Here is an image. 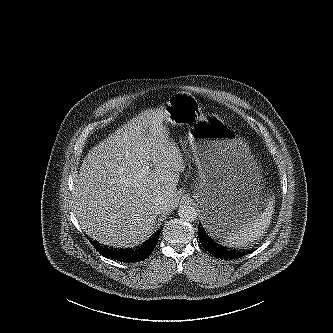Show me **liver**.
Returning a JSON list of instances; mask_svg holds the SVG:
<instances>
[{
  "instance_id": "liver-1",
  "label": "liver",
  "mask_w": 333,
  "mask_h": 333,
  "mask_svg": "<svg viewBox=\"0 0 333 333\" xmlns=\"http://www.w3.org/2000/svg\"><path fill=\"white\" fill-rule=\"evenodd\" d=\"M164 118L163 108L145 111L85 157L74 184V212L98 242L137 246L153 232L157 199L167 200V211L176 203L185 164L162 128Z\"/></svg>"
}]
</instances>
